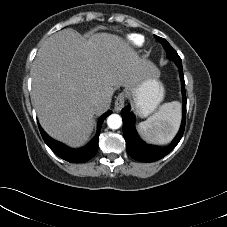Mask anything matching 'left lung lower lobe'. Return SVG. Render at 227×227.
<instances>
[{"label": "left lung lower lobe", "mask_w": 227, "mask_h": 227, "mask_svg": "<svg viewBox=\"0 0 227 227\" xmlns=\"http://www.w3.org/2000/svg\"><path fill=\"white\" fill-rule=\"evenodd\" d=\"M180 72L183 96V118L180 130L171 145L168 147H159L146 144L137 134L135 129V116L130 111V106L123 108L121 115L123 118V135L126 141L127 153L135 160L141 162H154L170 153L179 143L183 136L186 121V94L185 82L182 65H177Z\"/></svg>", "instance_id": "0a47b994"}]
</instances>
